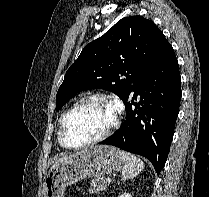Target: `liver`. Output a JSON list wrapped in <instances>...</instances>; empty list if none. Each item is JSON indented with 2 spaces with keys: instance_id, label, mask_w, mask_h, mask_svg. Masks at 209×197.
Returning a JSON list of instances; mask_svg holds the SVG:
<instances>
[{
  "instance_id": "obj_1",
  "label": "liver",
  "mask_w": 209,
  "mask_h": 197,
  "mask_svg": "<svg viewBox=\"0 0 209 197\" xmlns=\"http://www.w3.org/2000/svg\"><path fill=\"white\" fill-rule=\"evenodd\" d=\"M82 152H83V151H80V152H78V153H76V154H73V155H71V156H69V157H68V156H64V157H62V158L56 160V161L53 163V165L51 166L50 171H51L53 168H55L57 165L66 162L69 158H71V157H73V156H75V155H77V154H80V153H82Z\"/></svg>"
}]
</instances>
